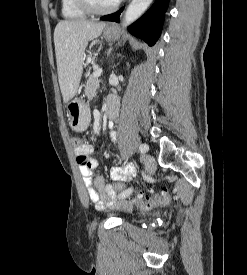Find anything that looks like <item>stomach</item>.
<instances>
[{
    "mask_svg": "<svg viewBox=\"0 0 247 275\" xmlns=\"http://www.w3.org/2000/svg\"><path fill=\"white\" fill-rule=\"evenodd\" d=\"M116 34L115 30L105 29L104 37L112 39ZM68 119L70 127L78 132L87 129L90 123V111L88 106L79 98H75L67 104Z\"/></svg>",
    "mask_w": 247,
    "mask_h": 275,
    "instance_id": "stomach-1",
    "label": "stomach"
}]
</instances>
